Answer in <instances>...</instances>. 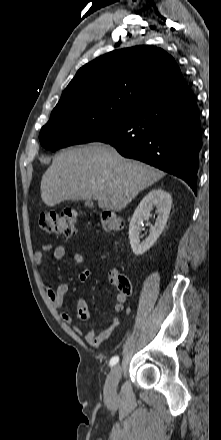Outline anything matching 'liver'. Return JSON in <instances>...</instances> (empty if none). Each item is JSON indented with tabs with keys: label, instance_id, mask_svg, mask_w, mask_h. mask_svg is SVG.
Returning <instances> with one entry per match:
<instances>
[{
	"label": "liver",
	"instance_id": "1",
	"mask_svg": "<svg viewBox=\"0 0 221 440\" xmlns=\"http://www.w3.org/2000/svg\"><path fill=\"white\" fill-rule=\"evenodd\" d=\"M163 176L154 167L123 158L110 145L94 143L55 156L42 176L41 198L48 207L95 199L101 209L120 211Z\"/></svg>",
	"mask_w": 221,
	"mask_h": 440
}]
</instances>
